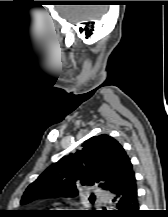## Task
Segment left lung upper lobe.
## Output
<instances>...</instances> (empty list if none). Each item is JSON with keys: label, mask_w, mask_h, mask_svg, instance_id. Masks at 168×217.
I'll use <instances>...</instances> for the list:
<instances>
[{"label": "left lung upper lobe", "mask_w": 168, "mask_h": 217, "mask_svg": "<svg viewBox=\"0 0 168 217\" xmlns=\"http://www.w3.org/2000/svg\"><path fill=\"white\" fill-rule=\"evenodd\" d=\"M132 172L130 158L118 141L105 134L94 136L75 153L48 167L27 187L21 204L43 197H75L85 185L112 192L120 188Z\"/></svg>", "instance_id": "obj_1"}]
</instances>
